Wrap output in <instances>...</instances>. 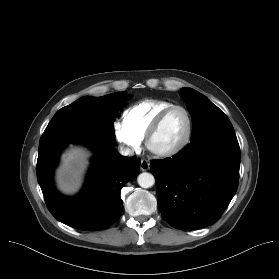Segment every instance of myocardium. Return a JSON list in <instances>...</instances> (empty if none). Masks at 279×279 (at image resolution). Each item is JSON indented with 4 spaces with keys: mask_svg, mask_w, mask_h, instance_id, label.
I'll return each instance as SVG.
<instances>
[{
    "mask_svg": "<svg viewBox=\"0 0 279 279\" xmlns=\"http://www.w3.org/2000/svg\"><path fill=\"white\" fill-rule=\"evenodd\" d=\"M173 110H181L184 112V114L186 116L187 128H186L185 135L182 138V140L173 148H170L168 150H156L152 146V139L155 136V134L158 132V130L161 127L165 118ZM192 133H193V119H192L191 113L189 112V110L186 107H184L182 105L174 104V105H171V106L165 108L164 110H162L157 115V117L154 119V121L152 122V124L150 125V127L146 133L145 144H146L147 149L156 157L169 158V157L178 155L187 147V145L189 144V142L191 140Z\"/></svg>",
    "mask_w": 279,
    "mask_h": 279,
    "instance_id": "1",
    "label": "myocardium"
}]
</instances>
